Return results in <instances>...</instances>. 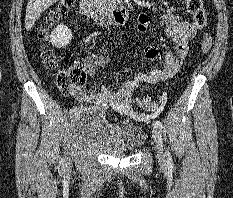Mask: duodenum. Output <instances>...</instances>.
<instances>
[{"label": "duodenum", "instance_id": "1", "mask_svg": "<svg viewBox=\"0 0 233 198\" xmlns=\"http://www.w3.org/2000/svg\"><path fill=\"white\" fill-rule=\"evenodd\" d=\"M80 13L99 25L124 24L129 17L127 9L122 7L104 9L95 0H80Z\"/></svg>", "mask_w": 233, "mask_h": 198}]
</instances>
